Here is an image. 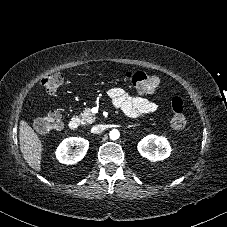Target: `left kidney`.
I'll list each match as a JSON object with an SVG mask.
<instances>
[{
  "instance_id": "left-kidney-1",
  "label": "left kidney",
  "mask_w": 227,
  "mask_h": 227,
  "mask_svg": "<svg viewBox=\"0 0 227 227\" xmlns=\"http://www.w3.org/2000/svg\"><path fill=\"white\" fill-rule=\"evenodd\" d=\"M137 148L143 157L153 162L164 160L171 154V147L168 140L165 137L153 134L144 137L138 143Z\"/></svg>"
}]
</instances>
